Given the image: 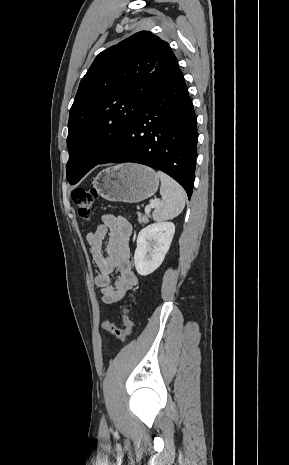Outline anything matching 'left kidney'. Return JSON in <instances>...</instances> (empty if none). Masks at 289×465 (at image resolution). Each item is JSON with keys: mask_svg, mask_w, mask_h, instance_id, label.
Returning <instances> with one entry per match:
<instances>
[{"mask_svg": "<svg viewBox=\"0 0 289 465\" xmlns=\"http://www.w3.org/2000/svg\"><path fill=\"white\" fill-rule=\"evenodd\" d=\"M174 233L175 225L172 222L153 223L139 232L134 254L138 274L147 276L162 264Z\"/></svg>", "mask_w": 289, "mask_h": 465, "instance_id": "1", "label": "left kidney"}]
</instances>
